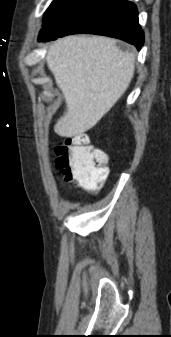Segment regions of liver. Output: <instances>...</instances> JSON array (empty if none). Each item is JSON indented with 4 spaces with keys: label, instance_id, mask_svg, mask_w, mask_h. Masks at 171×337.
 <instances>
[{
    "label": "liver",
    "instance_id": "obj_1",
    "mask_svg": "<svg viewBox=\"0 0 171 337\" xmlns=\"http://www.w3.org/2000/svg\"><path fill=\"white\" fill-rule=\"evenodd\" d=\"M46 61L66 102L54 126L61 137L95 126L127 90L135 70L129 52L99 36L58 39L49 46Z\"/></svg>",
    "mask_w": 171,
    "mask_h": 337
}]
</instances>
